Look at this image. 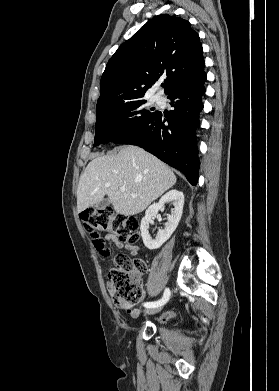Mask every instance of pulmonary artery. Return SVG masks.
Returning a JSON list of instances; mask_svg holds the SVG:
<instances>
[{
    "label": "pulmonary artery",
    "instance_id": "1",
    "mask_svg": "<svg viewBox=\"0 0 279 391\" xmlns=\"http://www.w3.org/2000/svg\"><path fill=\"white\" fill-rule=\"evenodd\" d=\"M156 101L158 102V101H160V99H159V98H156Z\"/></svg>",
    "mask_w": 279,
    "mask_h": 391
}]
</instances>
